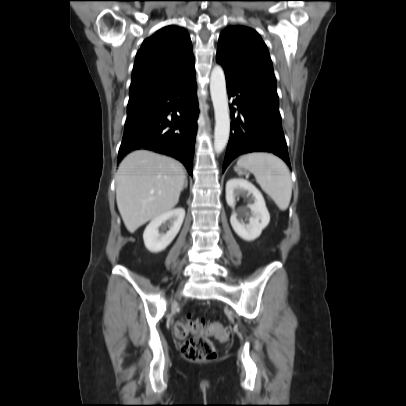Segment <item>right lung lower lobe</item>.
<instances>
[{"instance_id": "right-lung-lower-lobe-1", "label": "right lung lower lobe", "mask_w": 406, "mask_h": 406, "mask_svg": "<svg viewBox=\"0 0 406 406\" xmlns=\"http://www.w3.org/2000/svg\"><path fill=\"white\" fill-rule=\"evenodd\" d=\"M195 73L144 102L146 116L125 126L118 161L137 149H147L182 162L192 175L198 103Z\"/></svg>"}]
</instances>
